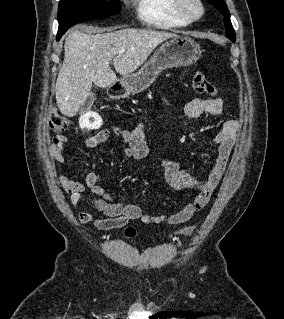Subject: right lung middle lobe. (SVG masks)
Returning <instances> with one entry per match:
<instances>
[{
	"label": "right lung middle lobe",
	"instance_id": "dd1d6c3e",
	"mask_svg": "<svg viewBox=\"0 0 284 319\" xmlns=\"http://www.w3.org/2000/svg\"><path fill=\"white\" fill-rule=\"evenodd\" d=\"M121 11L119 0H60L58 39L79 22L108 17Z\"/></svg>",
	"mask_w": 284,
	"mask_h": 319
}]
</instances>
